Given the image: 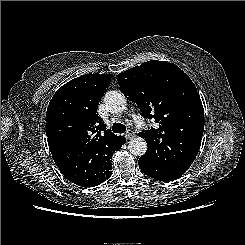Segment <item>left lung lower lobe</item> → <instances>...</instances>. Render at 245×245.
<instances>
[{"instance_id": "left-lung-lower-lobe-1", "label": "left lung lower lobe", "mask_w": 245, "mask_h": 245, "mask_svg": "<svg viewBox=\"0 0 245 245\" xmlns=\"http://www.w3.org/2000/svg\"><path fill=\"white\" fill-rule=\"evenodd\" d=\"M139 167L143 173L159 181L170 182L180 178L186 170L171 168L153 163L140 157Z\"/></svg>"}]
</instances>
